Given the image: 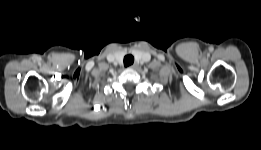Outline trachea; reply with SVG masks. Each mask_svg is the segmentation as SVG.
Masks as SVG:
<instances>
[{
    "mask_svg": "<svg viewBox=\"0 0 261 150\" xmlns=\"http://www.w3.org/2000/svg\"><path fill=\"white\" fill-rule=\"evenodd\" d=\"M133 62H134V57L131 54L126 55L124 57V66L125 67H128V66L132 65Z\"/></svg>",
    "mask_w": 261,
    "mask_h": 150,
    "instance_id": "trachea-1",
    "label": "trachea"
}]
</instances>
